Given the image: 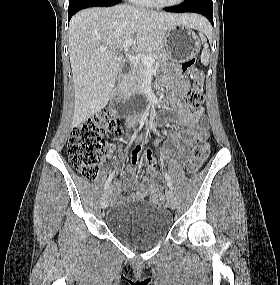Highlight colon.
I'll use <instances>...</instances> for the list:
<instances>
[{"mask_svg":"<svg viewBox=\"0 0 280 285\" xmlns=\"http://www.w3.org/2000/svg\"><path fill=\"white\" fill-rule=\"evenodd\" d=\"M196 59L191 58L183 64L191 85L186 91L185 101L192 108H198L204 99L205 76L196 66ZM122 133L119 120L110 113L100 114L76 125L68 144L69 162L84 178L94 179L98 174V165L108 152L107 137L118 138ZM207 137V136H206ZM205 136H194L191 143L188 172H197L209 154V144ZM140 151L134 150L131 160L138 161ZM149 200L163 203L165 195L157 193Z\"/></svg>","mask_w":280,"mask_h":285,"instance_id":"5ec220e1","label":"colon"}]
</instances>
